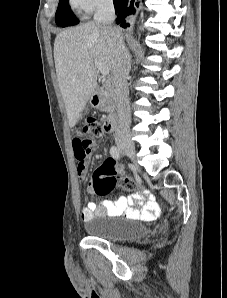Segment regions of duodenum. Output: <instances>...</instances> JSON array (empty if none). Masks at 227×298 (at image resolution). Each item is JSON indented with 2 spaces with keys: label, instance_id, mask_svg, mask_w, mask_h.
Segmentation results:
<instances>
[{
  "label": "duodenum",
  "instance_id": "duodenum-1",
  "mask_svg": "<svg viewBox=\"0 0 227 298\" xmlns=\"http://www.w3.org/2000/svg\"><path fill=\"white\" fill-rule=\"evenodd\" d=\"M107 97V93L101 89H97L93 92L91 97L92 105L95 107H100L103 105ZM104 130L107 133L113 132L117 127V116L116 113H111L103 123Z\"/></svg>",
  "mask_w": 227,
  "mask_h": 298
}]
</instances>
